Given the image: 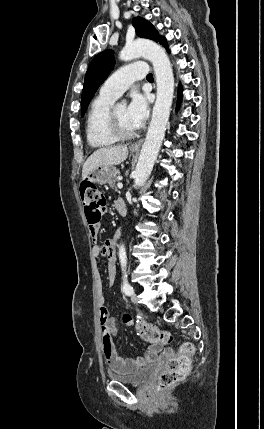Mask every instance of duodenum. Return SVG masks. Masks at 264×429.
Returning a JSON list of instances; mask_svg holds the SVG:
<instances>
[{"label":"duodenum","instance_id":"duodenum-1","mask_svg":"<svg viewBox=\"0 0 264 429\" xmlns=\"http://www.w3.org/2000/svg\"><path fill=\"white\" fill-rule=\"evenodd\" d=\"M116 209L121 216H125L127 214V207L124 202L119 203ZM113 257L114 259H116V255H114Z\"/></svg>","mask_w":264,"mask_h":429}]
</instances>
